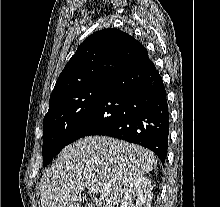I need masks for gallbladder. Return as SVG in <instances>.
Wrapping results in <instances>:
<instances>
[{
	"label": "gallbladder",
	"instance_id": "1",
	"mask_svg": "<svg viewBox=\"0 0 220 207\" xmlns=\"http://www.w3.org/2000/svg\"><path fill=\"white\" fill-rule=\"evenodd\" d=\"M84 207H92V204L90 201H86Z\"/></svg>",
	"mask_w": 220,
	"mask_h": 207
}]
</instances>
